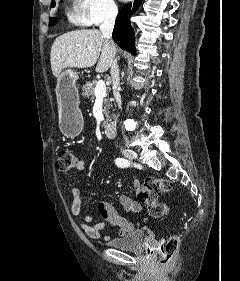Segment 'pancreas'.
I'll return each mask as SVG.
<instances>
[{"label":"pancreas","instance_id":"obj_1","mask_svg":"<svg viewBox=\"0 0 240 281\" xmlns=\"http://www.w3.org/2000/svg\"><path fill=\"white\" fill-rule=\"evenodd\" d=\"M97 82L93 81V82H88L86 83L83 88H82V95L85 98H90V100L93 102L94 101V91H95V86H96ZM104 107H103V112L104 115L107 117L106 121L104 122V125L107 124L108 122V114H109V109L111 107V103H110V99L109 98H105L104 99Z\"/></svg>","mask_w":240,"mask_h":281}]
</instances>
